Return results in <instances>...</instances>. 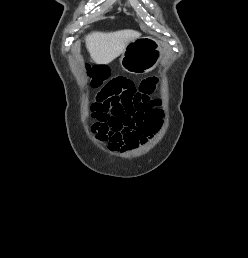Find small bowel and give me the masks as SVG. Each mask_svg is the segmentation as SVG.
Returning <instances> with one entry per match:
<instances>
[{"label": "small bowel", "instance_id": "obj_1", "mask_svg": "<svg viewBox=\"0 0 248 258\" xmlns=\"http://www.w3.org/2000/svg\"><path fill=\"white\" fill-rule=\"evenodd\" d=\"M156 80H146L140 88L125 77L105 83L100 98H110L121 114H127L123 125L111 131L98 124L94 132L113 151H125L145 143L159 129L162 113L159 101L151 98Z\"/></svg>", "mask_w": 248, "mask_h": 258}]
</instances>
